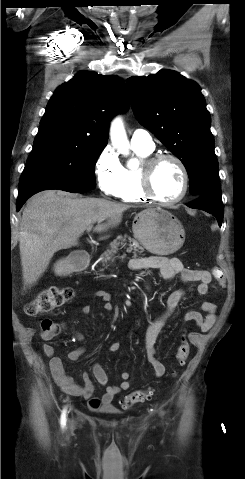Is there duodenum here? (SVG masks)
<instances>
[{"label": "duodenum", "instance_id": "410a0bca", "mask_svg": "<svg viewBox=\"0 0 245 479\" xmlns=\"http://www.w3.org/2000/svg\"><path fill=\"white\" fill-rule=\"evenodd\" d=\"M89 264V258L86 255H80L72 259V265L76 270H82Z\"/></svg>", "mask_w": 245, "mask_h": 479}]
</instances>
